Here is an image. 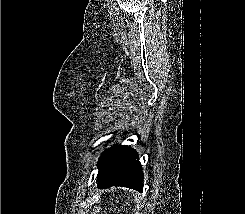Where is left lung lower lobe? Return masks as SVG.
I'll return each instance as SVG.
<instances>
[{
    "instance_id": "1",
    "label": "left lung lower lobe",
    "mask_w": 245,
    "mask_h": 214,
    "mask_svg": "<svg viewBox=\"0 0 245 214\" xmlns=\"http://www.w3.org/2000/svg\"><path fill=\"white\" fill-rule=\"evenodd\" d=\"M97 166L98 188L121 186L142 191L144 175L133 148L116 144L102 153Z\"/></svg>"
}]
</instances>
